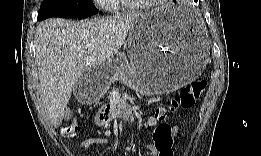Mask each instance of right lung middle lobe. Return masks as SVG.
I'll use <instances>...</instances> for the list:
<instances>
[{
    "label": "right lung middle lobe",
    "mask_w": 261,
    "mask_h": 156,
    "mask_svg": "<svg viewBox=\"0 0 261 156\" xmlns=\"http://www.w3.org/2000/svg\"><path fill=\"white\" fill-rule=\"evenodd\" d=\"M97 13L98 10L91 0H43L38 20L53 16L82 18Z\"/></svg>",
    "instance_id": "right-lung-middle-lobe-1"
}]
</instances>
